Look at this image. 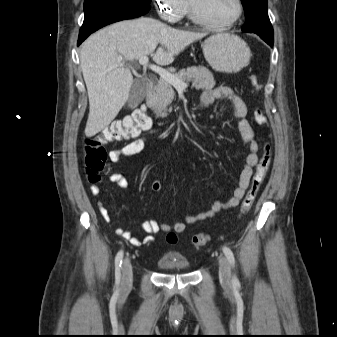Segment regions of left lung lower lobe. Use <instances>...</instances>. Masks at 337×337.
Listing matches in <instances>:
<instances>
[{
    "instance_id": "left-lung-lower-lobe-1",
    "label": "left lung lower lobe",
    "mask_w": 337,
    "mask_h": 337,
    "mask_svg": "<svg viewBox=\"0 0 337 337\" xmlns=\"http://www.w3.org/2000/svg\"><path fill=\"white\" fill-rule=\"evenodd\" d=\"M257 35H259L260 38L263 39L268 45H270L271 47H273L274 37L264 36V35H261V34H257Z\"/></svg>"
}]
</instances>
